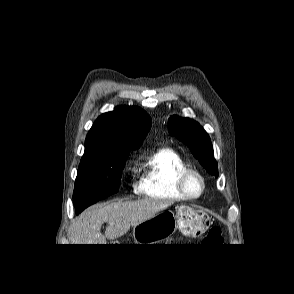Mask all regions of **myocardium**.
<instances>
[{
  "label": "myocardium",
  "instance_id": "myocardium-1",
  "mask_svg": "<svg viewBox=\"0 0 294 294\" xmlns=\"http://www.w3.org/2000/svg\"><path fill=\"white\" fill-rule=\"evenodd\" d=\"M190 176L198 177L201 182V188H200L199 193H197V194H192L187 187V182H188V179ZM176 186H177L178 191L181 193V195L184 198H186L188 200H194V199L199 198L204 193V191L206 189V181H205L204 176L198 170L186 167V168H183L177 172Z\"/></svg>",
  "mask_w": 294,
  "mask_h": 294
}]
</instances>
